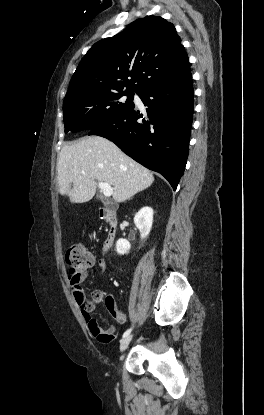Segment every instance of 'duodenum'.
Here are the masks:
<instances>
[{
  "label": "duodenum",
  "mask_w": 264,
  "mask_h": 415,
  "mask_svg": "<svg viewBox=\"0 0 264 415\" xmlns=\"http://www.w3.org/2000/svg\"><path fill=\"white\" fill-rule=\"evenodd\" d=\"M98 215L107 225V236L103 243V250L106 252L110 249L116 238L119 228V220L116 211L106 206L98 208Z\"/></svg>",
  "instance_id": "1"
}]
</instances>
